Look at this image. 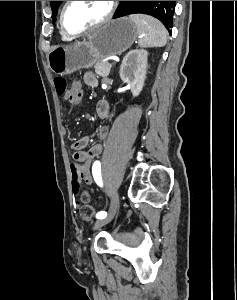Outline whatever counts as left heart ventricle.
I'll return each mask as SVG.
<instances>
[{"mask_svg":"<svg viewBox=\"0 0 237 300\" xmlns=\"http://www.w3.org/2000/svg\"><path fill=\"white\" fill-rule=\"evenodd\" d=\"M108 11V1H71L64 24L70 33H78L100 21Z\"/></svg>","mask_w":237,"mask_h":300,"instance_id":"b2bd125f","label":"left heart ventricle"}]
</instances>
